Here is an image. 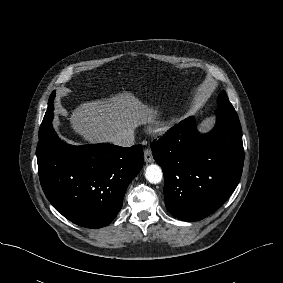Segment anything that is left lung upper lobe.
I'll use <instances>...</instances> for the list:
<instances>
[{"mask_svg":"<svg viewBox=\"0 0 283 283\" xmlns=\"http://www.w3.org/2000/svg\"><path fill=\"white\" fill-rule=\"evenodd\" d=\"M217 102H218L219 106L228 107V108L233 107L232 104L229 102V99H228L225 91H222L219 94Z\"/></svg>","mask_w":283,"mask_h":283,"instance_id":"obj_1","label":"left lung upper lobe"}]
</instances>
